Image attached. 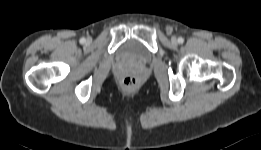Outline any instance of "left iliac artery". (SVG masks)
<instances>
[{"mask_svg": "<svg viewBox=\"0 0 261 150\" xmlns=\"http://www.w3.org/2000/svg\"><path fill=\"white\" fill-rule=\"evenodd\" d=\"M184 42V39L182 37L178 38V43L182 44Z\"/></svg>", "mask_w": 261, "mask_h": 150, "instance_id": "44dca946", "label": "left iliac artery"}]
</instances>
